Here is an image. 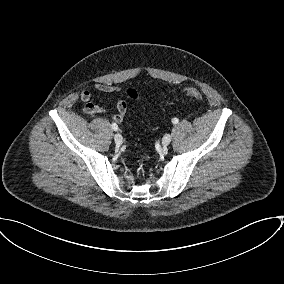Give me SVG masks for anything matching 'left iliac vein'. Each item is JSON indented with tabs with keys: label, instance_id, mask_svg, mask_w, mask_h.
Returning <instances> with one entry per match:
<instances>
[{
	"label": "left iliac vein",
	"instance_id": "obj_1",
	"mask_svg": "<svg viewBox=\"0 0 284 284\" xmlns=\"http://www.w3.org/2000/svg\"><path fill=\"white\" fill-rule=\"evenodd\" d=\"M171 139H172V137H171L170 134L164 135V137L162 139L163 146H168L170 144V142H171Z\"/></svg>",
	"mask_w": 284,
	"mask_h": 284
}]
</instances>
